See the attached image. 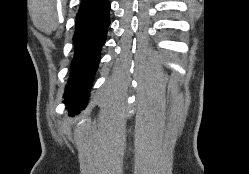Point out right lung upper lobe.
<instances>
[{"label":"right lung upper lobe","instance_id":"1","mask_svg":"<svg viewBox=\"0 0 249 174\" xmlns=\"http://www.w3.org/2000/svg\"><path fill=\"white\" fill-rule=\"evenodd\" d=\"M90 1H92V0H82L81 4L88 3Z\"/></svg>","mask_w":249,"mask_h":174}]
</instances>
